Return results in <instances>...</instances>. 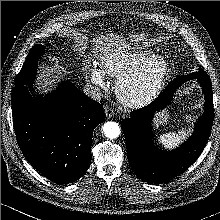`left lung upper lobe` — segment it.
Returning a JSON list of instances; mask_svg holds the SVG:
<instances>
[{
    "mask_svg": "<svg viewBox=\"0 0 220 220\" xmlns=\"http://www.w3.org/2000/svg\"><path fill=\"white\" fill-rule=\"evenodd\" d=\"M198 75H203L204 77H209L207 75V73L203 69L200 68L198 72H192L189 75H181V76L176 77L171 83L176 84V83H178V81H181L184 79H192V78L197 77Z\"/></svg>",
    "mask_w": 220,
    "mask_h": 220,
    "instance_id": "obj_1",
    "label": "left lung upper lobe"
}]
</instances>
